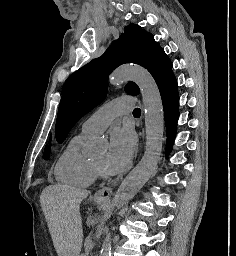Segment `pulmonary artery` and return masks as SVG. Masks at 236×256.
<instances>
[{
  "label": "pulmonary artery",
  "mask_w": 236,
  "mask_h": 256,
  "mask_svg": "<svg viewBox=\"0 0 236 256\" xmlns=\"http://www.w3.org/2000/svg\"><path fill=\"white\" fill-rule=\"evenodd\" d=\"M133 100V96H117V101H108L106 107H100L83 122L81 134L90 136L102 133L115 117L128 115L129 109L134 108Z\"/></svg>",
  "instance_id": "pulmonary-artery-1"
}]
</instances>
